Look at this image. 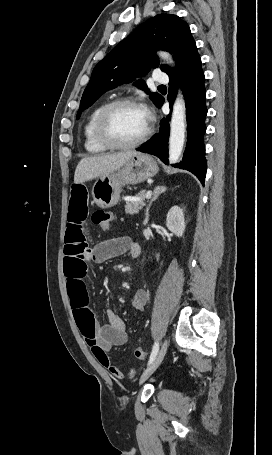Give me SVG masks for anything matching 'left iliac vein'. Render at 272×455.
<instances>
[{"mask_svg":"<svg viewBox=\"0 0 272 455\" xmlns=\"http://www.w3.org/2000/svg\"><path fill=\"white\" fill-rule=\"evenodd\" d=\"M167 348H168V341H167V339H165L164 342L162 343V346H161L159 352L157 353L155 359L141 375L139 384H142L143 382H145L152 375V373L158 368V366L162 362V360L167 352Z\"/></svg>","mask_w":272,"mask_h":455,"instance_id":"4c4485c4","label":"left iliac vein"}]
</instances>
